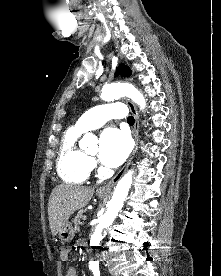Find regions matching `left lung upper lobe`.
Masks as SVG:
<instances>
[{
    "label": "left lung upper lobe",
    "mask_w": 221,
    "mask_h": 276,
    "mask_svg": "<svg viewBox=\"0 0 221 276\" xmlns=\"http://www.w3.org/2000/svg\"><path fill=\"white\" fill-rule=\"evenodd\" d=\"M119 75H121L123 77L130 76L131 75V70L127 66H124L123 64H120L116 68V71H115V76H119Z\"/></svg>",
    "instance_id": "left-lung-upper-lobe-1"
}]
</instances>
